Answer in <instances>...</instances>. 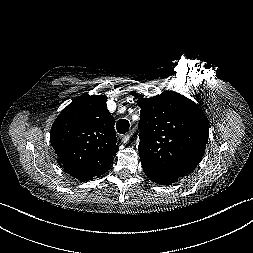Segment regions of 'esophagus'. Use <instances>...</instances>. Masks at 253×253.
Masks as SVG:
<instances>
[{
  "label": "esophagus",
  "instance_id": "34e87169",
  "mask_svg": "<svg viewBox=\"0 0 253 253\" xmlns=\"http://www.w3.org/2000/svg\"><path fill=\"white\" fill-rule=\"evenodd\" d=\"M130 140V135L127 134V135H124L123 138H122V142L125 144V143H128V141Z\"/></svg>",
  "mask_w": 253,
  "mask_h": 253
}]
</instances>
